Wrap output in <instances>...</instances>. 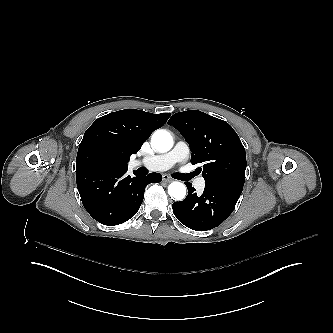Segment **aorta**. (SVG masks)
Instances as JSON below:
<instances>
[{"instance_id": "obj_1", "label": "aorta", "mask_w": 333, "mask_h": 333, "mask_svg": "<svg viewBox=\"0 0 333 333\" xmlns=\"http://www.w3.org/2000/svg\"><path fill=\"white\" fill-rule=\"evenodd\" d=\"M152 147L160 152H168L173 146L172 136L163 129L156 130L151 138ZM168 194L176 200H182L186 195V186L178 181H174L168 186Z\"/></svg>"}]
</instances>
